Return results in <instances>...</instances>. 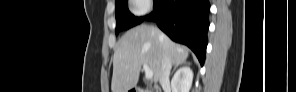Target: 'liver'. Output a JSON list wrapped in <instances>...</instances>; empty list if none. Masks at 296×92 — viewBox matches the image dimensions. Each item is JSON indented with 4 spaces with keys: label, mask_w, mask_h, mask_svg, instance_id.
I'll list each match as a JSON object with an SVG mask.
<instances>
[{
    "label": "liver",
    "mask_w": 296,
    "mask_h": 92,
    "mask_svg": "<svg viewBox=\"0 0 296 92\" xmlns=\"http://www.w3.org/2000/svg\"><path fill=\"white\" fill-rule=\"evenodd\" d=\"M189 50L175 42L157 27L142 24L128 30L119 40L113 56L112 92H128L139 80L145 63L158 82L162 73V60L168 56L171 64L184 62Z\"/></svg>",
    "instance_id": "1"
}]
</instances>
